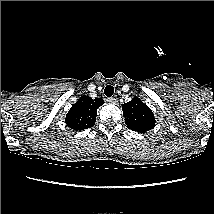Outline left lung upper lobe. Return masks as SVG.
Instances as JSON below:
<instances>
[{"label": "left lung upper lobe", "instance_id": "1", "mask_svg": "<svg viewBox=\"0 0 214 214\" xmlns=\"http://www.w3.org/2000/svg\"><path fill=\"white\" fill-rule=\"evenodd\" d=\"M125 124L131 130L145 133L155 126V118L152 110L138 97H134L128 103L122 105Z\"/></svg>", "mask_w": 214, "mask_h": 214}]
</instances>
